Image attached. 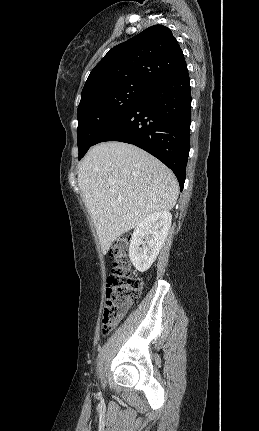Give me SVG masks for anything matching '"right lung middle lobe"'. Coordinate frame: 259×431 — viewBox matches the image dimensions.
Here are the masks:
<instances>
[{
  "instance_id": "right-lung-middle-lobe-1",
  "label": "right lung middle lobe",
  "mask_w": 259,
  "mask_h": 431,
  "mask_svg": "<svg viewBox=\"0 0 259 431\" xmlns=\"http://www.w3.org/2000/svg\"><path fill=\"white\" fill-rule=\"evenodd\" d=\"M148 89L122 86L93 94L80 102L77 111V142L81 159L98 136L120 118Z\"/></svg>"
}]
</instances>
